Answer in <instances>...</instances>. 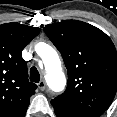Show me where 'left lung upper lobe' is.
<instances>
[{"label":"left lung upper lobe","mask_w":117,"mask_h":117,"mask_svg":"<svg viewBox=\"0 0 117 117\" xmlns=\"http://www.w3.org/2000/svg\"><path fill=\"white\" fill-rule=\"evenodd\" d=\"M46 35L62 54L68 72L65 92L51 101L70 117H100L117 91V52L100 29L77 20L46 25Z\"/></svg>","instance_id":"5c2ea615"}]
</instances>
